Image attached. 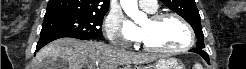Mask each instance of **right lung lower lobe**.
Returning a JSON list of instances; mask_svg holds the SVG:
<instances>
[{
	"label": "right lung lower lobe",
	"mask_w": 246,
	"mask_h": 69,
	"mask_svg": "<svg viewBox=\"0 0 246 69\" xmlns=\"http://www.w3.org/2000/svg\"><path fill=\"white\" fill-rule=\"evenodd\" d=\"M62 37H73V36H66V35H47V36H41L36 47V51H39L43 46L48 44L49 42L56 40L58 38ZM76 38V37H73ZM80 39V38H77ZM83 40H92L91 38H85Z\"/></svg>",
	"instance_id": "1"
}]
</instances>
